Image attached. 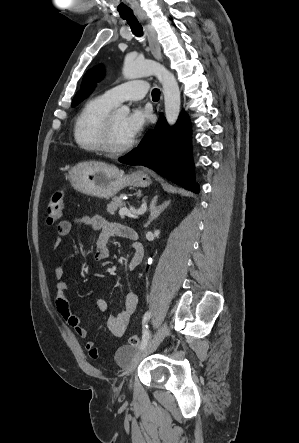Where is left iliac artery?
I'll return each mask as SVG.
<instances>
[{
  "label": "left iliac artery",
  "instance_id": "left-iliac-artery-1",
  "mask_svg": "<svg viewBox=\"0 0 299 443\" xmlns=\"http://www.w3.org/2000/svg\"><path fill=\"white\" fill-rule=\"evenodd\" d=\"M150 317H151L150 311L146 312L143 316V321H142L143 336H142V343H141L140 349H143L147 345V343L149 342V339H150V332H149L148 326H147V321L150 319Z\"/></svg>",
  "mask_w": 299,
  "mask_h": 443
}]
</instances>
